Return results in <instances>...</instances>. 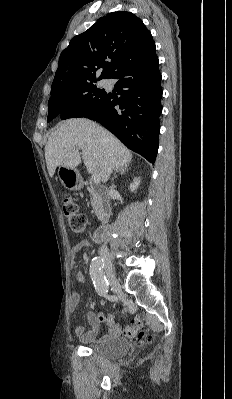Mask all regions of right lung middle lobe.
<instances>
[{"label": "right lung middle lobe", "mask_w": 232, "mask_h": 399, "mask_svg": "<svg viewBox=\"0 0 232 399\" xmlns=\"http://www.w3.org/2000/svg\"><path fill=\"white\" fill-rule=\"evenodd\" d=\"M93 82L81 84L65 93L51 95L48 101L47 121H51L60 113H63L65 118H70L80 111L98 106L107 93L104 89L97 88Z\"/></svg>", "instance_id": "1"}]
</instances>
